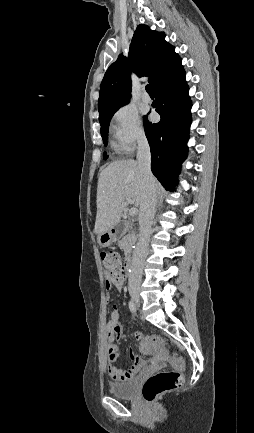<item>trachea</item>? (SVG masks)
<instances>
[{"instance_id":"3493384b","label":"trachea","mask_w":254,"mask_h":433,"mask_svg":"<svg viewBox=\"0 0 254 433\" xmlns=\"http://www.w3.org/2000/svg\"><path fill=\"white\" fill-rule=\"evenodd\" d=\"M145 89L149 95H153V89L150 84L146 85Z\"/></svg>"}]
</instances>
